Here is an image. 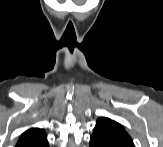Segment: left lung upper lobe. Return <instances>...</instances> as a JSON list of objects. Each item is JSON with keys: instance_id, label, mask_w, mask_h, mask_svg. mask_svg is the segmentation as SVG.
I'll return each mask as SVG.
<instances>
[{"instance_id": "1", "label": "left lung upper lobe", "mask_w": 163, "mask_h": 147, "mask_svg": "<svg viewBox=\"0 0 163 147\" xmlns=\"http://www.w3.org/2000/svg\"><path fill=\"white\" fill-rule=\"evenodd\" d=\"M95 129L107 131V132L127 134V132L125 131V129L123 128L122 125H120L118 122L111 120L110 118H106V117L99 118L97 120L94 130Z\"/></svg>"}]
</instances>
